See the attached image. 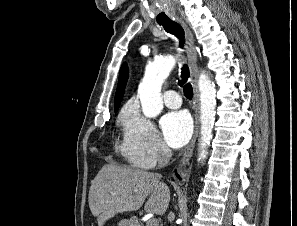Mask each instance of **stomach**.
Wrapping results in <instances>:
<instances>
[{
  "mask_svg": "<svg viewBox=\"0 0 297 226\" xmlns=\"http://www.w3.org/2000/svg\"><path fill=\"white\" fill-rule=\"evenodd\" d=\"M118 226H136V223L133 219L131 220L124 219L120 221Z\"/></svg>",
  "mask_w": 297,
  "mask_h": 226,
  "instance_id": "obj_1",
  "label": "stomach"
}]
</instances>
